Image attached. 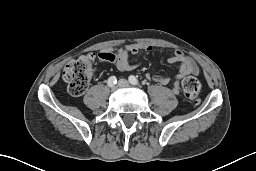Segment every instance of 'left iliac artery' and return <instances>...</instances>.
I'll list each match as a JSON object with an SVG mask.
<instances>
[{
  "label": "left iliac artery",
  "mask_w": 256,
  "mask_h": 171,
  "mask_svg": "<svg viewBox=\"0 0 256 171\" xmlns=\"http://www.w3.org/2000/svg\"><path fill=\"white\" fill-rule=\"evenodd\" d=\"M129 82L133 85H138L139 84L138 79L133 75L129 76Z\"/></svg>",
  "instance_id": "44dca946"
}]
</instances>
